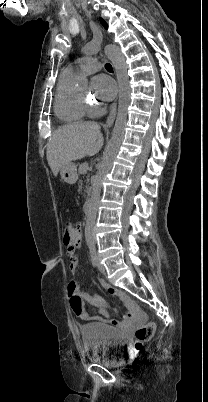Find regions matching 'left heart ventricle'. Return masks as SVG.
<instances>
[{"label": "left heart ventricle", "mask_w": 208, "mask_h": 402, "mask_svg": "<svg viewBox=\"0 0 208 402\" xmlns=\"http://www.w3.org/2000/svg\"><path fill=\"white\" fill-rule=\"evenodd\" d=\"M85 91H86V86H85L79 93L85 94ZM99 95H100V94H99Z\"/></svg>", "instance_id": "1"}]
</instances>
